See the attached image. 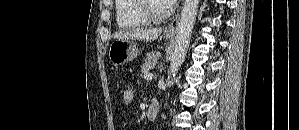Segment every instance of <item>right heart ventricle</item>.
<instances>
[{"label":"right heart ventricle","instance_id":"obj_1","mask_svg":"<svg viewBox=\"0 0 299 130\" xmlns=\"http://www.w3.org/2000/svg\"><path fill=\"white\" fill-rule=\"evenodd\" d=\"M140 0H116L115 16L120 28H139L150 24L139 9Z\"/></svg>","mask_w":299,"mask_h":130}]
</instances>
